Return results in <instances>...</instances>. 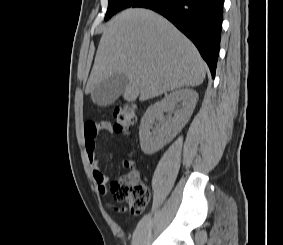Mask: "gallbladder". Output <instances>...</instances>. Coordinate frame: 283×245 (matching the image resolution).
<instances>
[{"mask_svg": "<svg viewBox=\"0 0 283 245\" xmlns=\"http://www.w3.org/2000/svg\"><path fill=\"white\" fill-rule=\"evenodd\" d=\"M127 84V76L117 73L99 83L92 91L91 99L98 106H109L120 97Z\"/></svg>", "mask_w": 283, "mask_h": 245, "instance_id": "bac80fb5", "label": "gallbladder"}]
</instances>
